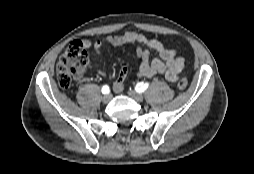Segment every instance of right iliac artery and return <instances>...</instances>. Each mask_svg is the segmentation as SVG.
Here are the masks:
<instances>
[{
	"label": "right iliac artery",
	"mask_w": 254,
	"mask_h": 174,
	"mask_svg": "<svg viewBox=\"0 0 254 174\" xmlns=\"http://www.w3.org/2000/svg\"><path fill=\"white\" fill-rule=\"evenodd\" d=\"M109 92H110L109 87H108L107 85H104V86L102 87V93H103V94H108Z\"/></svg>",
	"instance_id": "right-iliac-artery-1"
}]
</instances>
